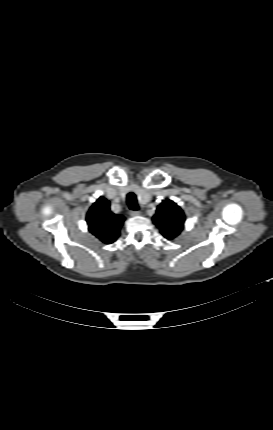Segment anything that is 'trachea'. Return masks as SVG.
<instances>
[{"label":"trachea","instance_id":"trachea-1","mask_svg":"<svg viewBox=\"0 0 273 430\" xmlns=\"http://www.w3.org/2000/svg\"><path fill=\"white\" fill-rule=\"evenodd\" d=\"M127 203L129 205V209L134 211L138 210L137 199L134 193L131 192L127 195Z\"/></svg>","mask_w":273,"mask_h":430}]
</instances>
